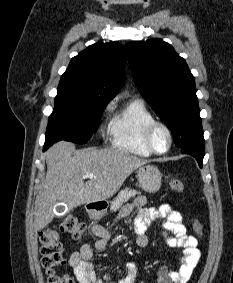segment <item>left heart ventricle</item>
<instances>
[{
    "mask_svg": "<svg viewBox=\"0 0 233 283\" xmlns=\"http://www.w3.org/2000/svg\"><path fill=\"white\" fill-rule=\"evenodd\" d=\"M152 142L157 150H165L169 143L167 133L161 128L156 129L153 134Z\"/></svg>",
    "mask_w": 233,
    "mask_h": 283,
    "instance_id": "left-heart-ventricle-1",
    "label": "left heart ventricle"
}]
</instances>
